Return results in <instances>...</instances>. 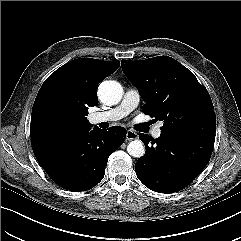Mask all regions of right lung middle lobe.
Segmentation results:
<instances>
[{"label":"right lung middle lobe","instance_id":"obj_1","mask_svg":"<svg viewBox=\"0 0 241 241\" xmlns=\"http://www.w3.org/2000/svg\"><path fill=\"white\" fill-rule=\"evenodd\" d=\"M67 120L65 111L61 108H55L51 110L47 115V121L51 125H61Z\"/></svg>","mask_w":241,"mask_h":241}]
</instances>
